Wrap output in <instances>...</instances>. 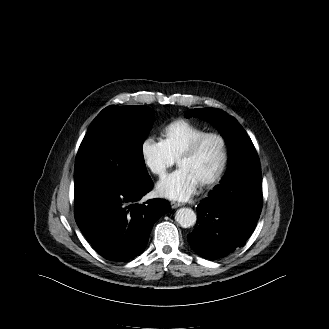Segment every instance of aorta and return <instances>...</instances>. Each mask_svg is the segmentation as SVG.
<instances>
[{
    "label": "aorta",
    "instance_id": "aorta-1",
    "mask_svg": "<svg viewBox=\"0 0 329 329\" xmlns=\"http://www.w3.org/2000/svg\"><path fill=\"white\" fill-rule=\"evenodd\" d=\"M175 220L183 228H189L196 223L197 216L191 208H180L176 211Z\"/></svg>",
    "mask_w": 329,
    "mask_h": 329
}]
</instances>
